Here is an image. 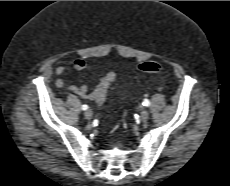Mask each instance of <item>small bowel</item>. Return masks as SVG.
I'll return each instance as SVG.
<instances>
[{
  "mask_svg": "<svg viewBox=\"0 0 230 186\" xmlns=\"http://www.w3.org/2000/svg\"><path fill=\"white\" fill-rule=\"evenodd\" d=\"M88 63L83 59H77L73 62V68L76 70H85L88 68ZM66 66L61 65L55 69V75L61 76L66 71ZM112 81L108 80V74L104 77H101L97 85L92 89L86 85H77L68 83L66 80L59 78L56 81V86L58 88H66L67 91L72 92L83 99L94 101L98 104H102L105 101L108 88ZM104 98V101L101 103L100 100Z\"/></svg>",
  "mask_w": 230,
  "mask_h": 186,
  "instance_id": "c3829d8e",
  "label": "small bowel"
}]
</instances>
